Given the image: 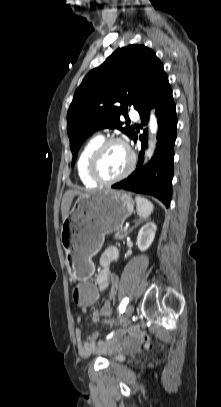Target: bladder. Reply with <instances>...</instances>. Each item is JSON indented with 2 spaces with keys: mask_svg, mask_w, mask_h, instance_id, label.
Returning a JSON list of instances; mask_svg holds the SVG:
<instances>
[{
  "mask_svg": "<svg viewBox=\"0 0 221 407\" xmlns=\"http://www.w3.org/2000/svg\"><path fill=\"white\" fill-rule=\"evenodd\" d=\"M112 354H113L111 358L112 361L118 362L124 358V356L122 354H119L115 349L112 350Z\"/></svg>",
  "mask_w": 221,
  "mask_h": 407,
  "instance_id": "1",
  "label": "bladder"
}]
</instances>
